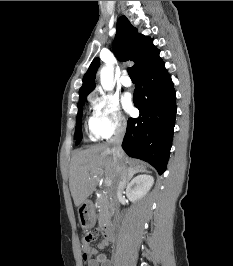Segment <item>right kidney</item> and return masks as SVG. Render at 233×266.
<instances>
[{
    "mask_svg": "<svg viewBox=\"0 0 233 266\" xmlns=\"http://www.w3.org/2000/svg\"><path fill=\"white\" fill-rule=\"evenodd\" d=\"M154 184V178L150 175H140L134 178L127 187V197L135 202L143 198Z\"/></svg>",
    "mask_w": 233,
    "mask_h": 266,
    "instance_id": "right-kidney-1",
    "label": "right kidney"
}]
</instances>
